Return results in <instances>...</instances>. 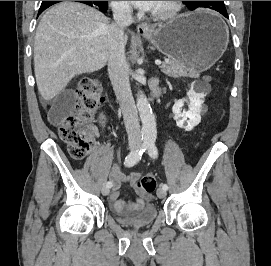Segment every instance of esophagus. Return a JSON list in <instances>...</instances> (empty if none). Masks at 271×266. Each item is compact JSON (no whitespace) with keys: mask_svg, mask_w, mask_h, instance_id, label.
<instances>
[{"mask_svg":"<svg viewBox=\"0 0 271 266\" xmlns=\"http://www.w3.org/2000/svg\"><path fill=\"white\" fill-rule=\"evenodd\" d=\"M137 30L140 33H148L151 32L153 29L152 27L147 23H141L137 26Z\"/></svg>","mask_w":271,"mask_h":266,"instance_id":"obj_1","label":"esophagus"}]
</instances>
